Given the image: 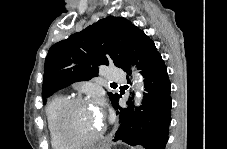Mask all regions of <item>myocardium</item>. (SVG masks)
Listing matches in <instances>:
<instances>
[{
    "label": "myocardium",
    "instance_id": "myocardium-1",
    "mask_svg": "<svg viewBox=\"0 0 227 149\" xmlns=\"http://www.w3.org/2000/svg\"><path fill=\"white\" fill-rule=\"evenodd\" d=\"M87 102L86 98L83 97H74L70 99H66V101L60 106L56 114V129L60 139L65 142L69 146H89L93 145L96 141H98L103 135L106 125L102 122L99 131L88 137V138H75L66 132V117L68 112L75 105Z\"/></svg>",
    "mask_w": 227,
    "mask_h": 149
}]
</instances>
